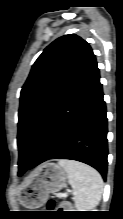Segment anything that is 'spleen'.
<instances>
[{"instance_id":"obj_1","label":"spleen","mask_w":123,"mask_h":219,"mask_svg":"<svg viewBox=\"0 0 123 219\" xmlns=\"http://www.w3.org/2000/svg\"><path fill=\"white\" fill-rule=\"evenodd\" d=\"M58 164L67 173L77 211L93 209L103 193L104 184L101 175L90 166L74 160H59Z\"/></svg>"}]
</instances>
